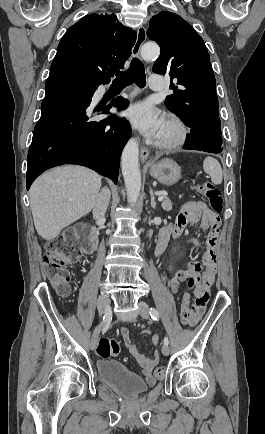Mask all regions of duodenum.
Returning <instances> with one entry per match:
<instances>
[{"label": "duodenum", "instance_id": "obj_1", "mask_svg": "<svg viewBox=\"0 0 265 434\" xmlns=\"http://www.w3.org/2000/svg\"><path fill=\"white\" fill-rule=\"evenodd\" d=\"M91 229H98V228L92 227ZM165 248H166V243L162 239H159L155 247V255L159 257L164 252Z\"/></svg>", "mask_w": 265, "mask_h": 434}]
</instances>
